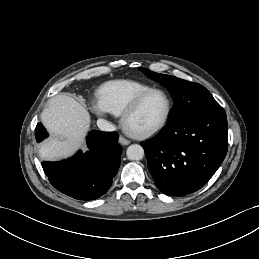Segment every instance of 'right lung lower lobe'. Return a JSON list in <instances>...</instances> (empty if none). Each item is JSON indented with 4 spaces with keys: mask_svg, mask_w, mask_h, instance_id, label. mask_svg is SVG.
<instances>
[{
    "mask_svg": "<svg viewBox=\"0 0 259 259\" xmlns=\"http://www.w3.org/2000/svg\"><path fill=\"white\" fill-rule=\"evenodd\" d=\"M48 136L41 123L35 137L40 142ZM116 132L91 131L88 151L60 162H42L50 183L60 192L79 200H93L107 192L120 166L122 148Z\"/></svg>",
    "mask_w": 259,
    "mask_h": 259,
    "instance_id": "obj_1",
    "label": "right lung lower lobe"
}]
</instances>
